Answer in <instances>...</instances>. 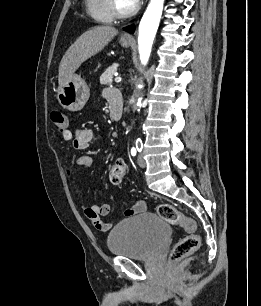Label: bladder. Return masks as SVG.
<instances>
[{"label":"bladder","instance_id":"31cf9c89","mask_svg":"<svg viewBox=\"0 0 261 306\" xmlns=\"http://www.w3.org/2000/svg\"><path fill=\"white\" fill-rule=\"evenodd\" d=\"M171 228L158 214L142 213L116 225L107 237L111 254L148 259L169 238Z\"/></svg>","mask_w":261,"mask_h":306}]
</instances>
